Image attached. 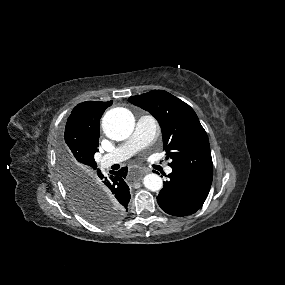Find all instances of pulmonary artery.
Wrapping results in <instances>:
<instances>
[{
	"instance_id": "1",
	"label": "pulmonary artery",
	"mask_w": 285,
	"mask_h": 285,
	"mask_svg": "<svg viewBox=\"0 0 285 285\" xmlns=\"http://www.w3.org/2000/svg\"><path fill=\"white\" fill-rule=\"evenodd\" d=\"M158 135V125L154 117L144 115L137 120L132 136L110 153L100 158L102 168L123 162L133 156L140 149L150 144ZM167 173L172 172L171 167L166 168Z\"/></svg>"
}]
</instances>
